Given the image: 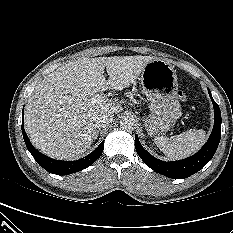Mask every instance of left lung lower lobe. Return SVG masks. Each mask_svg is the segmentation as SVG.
Returning <instances> with one entry per match:
<instances>
[{
	"instance_id": "0a47b994",
	"label": "left lung lower lobe",
	"mask_w": 233,
	"mask_h": 233,
	"mask_svg": "<svg viewBox=\"0 0 233 233\" xmlns=\"http://www.w3.org/2000/svg\"><path fill=\"white\" fill-rule=\"evenodd\" d=\"M208 93L214 106V126L205 145L196 154L179 161L164 162L149 154L135 136V147L143 162L154 171L169 178H187L202 169L214 156L221 138V112L218 104L213 100L210 90Z\"/></svg>"
}]
</instances>
